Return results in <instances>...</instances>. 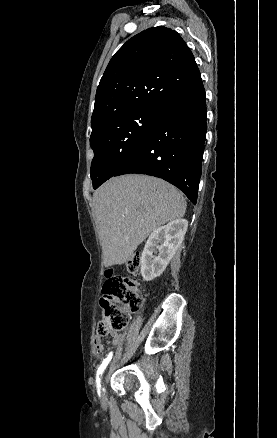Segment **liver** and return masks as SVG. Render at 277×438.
<instances>
[{
    "label": "liver",
    "instance_id": "1",
    "mask_svg": "<svg viewBox=\"0 0 277 438\" xmlns=\"http://www.w3.org/2000/svg\"><path fill=\"white\" fill-rule=\"evenodd\" d=\"M186 206L182 192L160 178L127 174L105 182L93 194L104 266L125 264L153 230L183 218Z\"/></svg>",
    "mask_w": 277,
    "mask_h": 438
}]
</instances>
